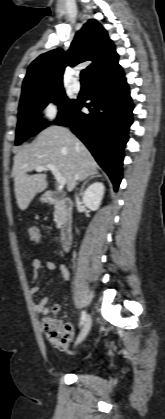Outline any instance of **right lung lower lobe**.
Listing matches in <instances>:
<instances>
[{"instance_id":"98d812e1","label":"right lung lower lobe","mask_w":165,"mask_h":419,"mask_svg":"<svg viewBox=\"0 0 165 419\" xmlns=\"http://www.w3.org/2000/svg\"><path fill=\"white\" fill-rule=\"evenodd\" d=\"M89 89L92 92L87 98L90 103L86 104L83 98L77 99L73 110L57 118V125L71 127L117 190L122 179L124 147L134 108L122 68L118 65L90 81ZM84 106L90 113L81 112Z\"/></svg>"}]
</instances>
